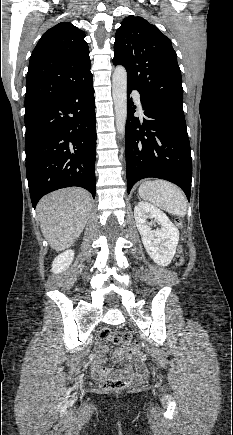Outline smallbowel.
Listing matches in <instances>:
<instances>
[{
  "label": "small bowel",
  "instance_id": "c3829d8e",
  "mask_svg": "<svg viewBox=\"0 0 233 435\" xmlns=\"http://www.w3.org/2000/svg\"><path fill=\"white\" fill-rule=\"evenodd\" d=\"M98 353L100 355L105 352V343L100 341L97 345ZM113 359L115 361H119L122 359H127L130 361L131 365L127 369L128 374H143L145 372V367L142 365L140 360V352L138 350H133L128 352L125 348L119 347L112 352ZM104 359L101 358L98 361L94 362L91 366V373L95 378H101L114 372V370L106 368L103 364Z\"/></svg>",
  "mask_w": 233,
  "mask_h": 435
}]
</instances>
